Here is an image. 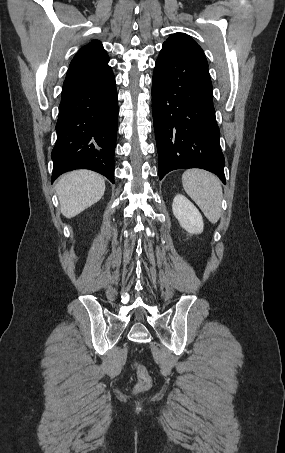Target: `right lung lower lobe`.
<instances>
[{"label": "right lung lower lobe", "instance_id": "right-lung-lower-lobe-1", "mask_svg": "<svg viewBox=\"0 0 285 453\" xmlns=\"http://www.w3.org/2000/svg\"><path fill=\"white\" fill-rule=\"evenodd\" d=\"M117 127V91L111 67L70 66L59 105L51 182L64 172L90 169L114 183Z\"/></svg>", "mask_w": 285, "mask_h": 453}]
</instances>
